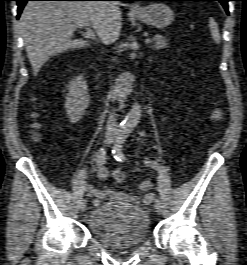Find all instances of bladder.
I'll return each mask as SVG.
<instances>
[{
	"mask_svg": "<svg viewBox=\"0 0 247 265\" xmlns=\"http://www.w3.org/2000/svg\"><path fill=\"white\" fill-rule=\"evenodd\" d=\"M88 226L98 242L116 249L135 247L149 235L146 211L115 201L98 204L89 214Z\"/></svg>",
	"mask_w": 247,
	"mask_h": 265,
	"instance_id": "31cf9c89",
	"label": "bladder"
}]
</instances>
